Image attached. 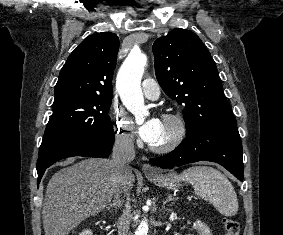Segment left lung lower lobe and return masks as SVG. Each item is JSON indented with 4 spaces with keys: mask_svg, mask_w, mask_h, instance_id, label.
I'll list each match as a JSON object with an SVG mask.
<instances>
[{
    "mask_svg": "<svg viewBox=\"0 0 283 235\" xmlns=\"http://www.w3.org/2000/svg\"><path fill=\"white\" fill-rule=\"evenodd\" d=\"M242 143L236 125L198 131L186 135L182 143L167 155L151 159L153 166L174 168L197 161L224 166L243 180Z\"/></svg>",
    "mask_w": 283,
    "mask_h": 235,
    "instance_id": "1",
    "label": "left lung lower lobe"
}]
</instances>
